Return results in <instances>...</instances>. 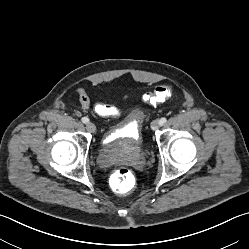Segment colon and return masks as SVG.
<instances>
[{"mask_svg": "<svg viewBox=\"0 0 249 249\" xmlns=\"http://www.w3.org/2000/svg\"><path fill=\"white\" fill-rule=\"evenodd\" d=\"M174 91L173 86L163 84L142 95V101L149 105H156L168 99ZM111 187L118 194L128 193L134 186L135 176L127 167L118 168L111 176Z\"/></svg>", "mask_w": 249, "mask_h": 249, "instance_id": "5ec220e1", "label": "colon"}]
</instances>
